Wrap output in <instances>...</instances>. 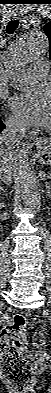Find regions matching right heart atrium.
<instances>
[{
    "label": "right heart atrium",
    "instance_id": "right-heart-atrium-1",
    "mask_svg": "<svg viewBox=\"0 0 51 393\" xmlns=\"http://www.w3.org/2000/svg\"><path fill=\"white\" fill-rule=\"evenodd\" d=\"M6 124L13 131H16V132L24 131L23 124L14 116H8V118L6 120Z\"/></svg>",
    "mask_w": 51,
    "mask_h": 393
}]
</instances>
